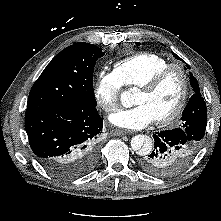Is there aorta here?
<instances>
[{
  "mask_svg": "<svg viewBox=\"0 0 221 221\" xmlns=\"http://www.w3.org/2000/svg\"><path fill=\"white\" fill-rule=\"evenodd\" d=\"M121 100L127 107L132 105V96L129 92L123 93ZM152 145V140L143 134H138L131 139V148L139 155L149 153L152 150Z\"/></svg>",
  "mask_w": 221,
  "mask_h": 221,
  "instance_id": "762f6f07",
  "label": "aorta"
}]
</instances>
